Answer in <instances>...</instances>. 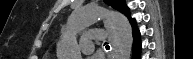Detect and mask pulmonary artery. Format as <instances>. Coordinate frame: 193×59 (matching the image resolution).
Returning <instances> with one entry per match:
<instances>
[{"instance_id": "obj_1", "label": "pulmonary artery", "mask_w": 193, "mask_h": 59, "mask_svg": "<svg viewBox=\"0 0 193 59\" xmlns=\"http://www.w3.org/2000/svg\"><path fill=\"white\" fill-rule=\"evenodd\" d=\"M95 34L99 39H103V36L99 34V31L96 28L88 29L83 32L80 40V46L86 53H92L95 49L93 42L90 40V37Z\"/></svg>"}]
</instances>
